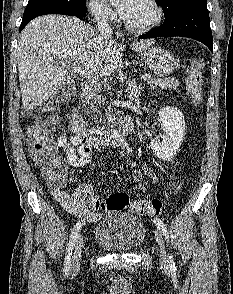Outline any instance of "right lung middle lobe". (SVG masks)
I'll return each instance as SVG.
<instances>
[{"label": "right lung middle lobe", "mask_w": 233, "mask_h": 294, "mask_svg": "<svg viewBox=\"0 0 233 294\" xmlns=\"http://www.w3.org/2000/svg\"><path fill=\"white\" fill-rule=\"evenodd\" d=\"M86 10V0H29L22 23L46 14L74 15Z\"/></svg>", "instance_id": "dd1d6c3e"}]
</instances>
